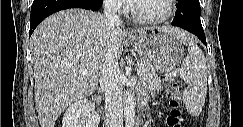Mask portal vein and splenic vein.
I'll use <instances>...</instances> for the list:
<instances>
[{
    "instance_id": "18ae733b",
    "label": "portal vein and splenic vein",
    "mask_w": 243,
    "mask_h": 127,
    "mask_svg": "<svg viewBox=\"0 0 243 127\" xmlns=\"http://www.w3.org/2000/svg\"><path fill=\"white\" fill-rule=\"evenodd\" d=\"M82 73H83V74H87V73H88V70H83ZM137 74H138V75H142V74H144V69H143V68H139V69L137 70Z\"/></svg>"
}]
</instances>
